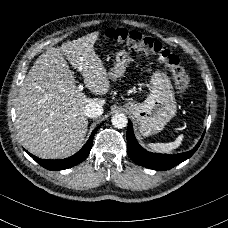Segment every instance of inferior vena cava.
I'll list each match as a JSON object with an SVG mask.
<instances>
[{
  "label": "inferior vena cava",
  "instance_id": "1",
  "mask_svg": "<svg viewBox=\"0 0 228 228\" xmlns=\"http://www.w3.org/2000/svg\"><path fill=\"white\" fill-rule=\"evenodd\" d=\"M103 107L93 100H89L85 106L84 114L90 118H96L102 115Z\"/></svg>",
  "mask_w": 228,
  "mask_h": 228
}]
</instances>
